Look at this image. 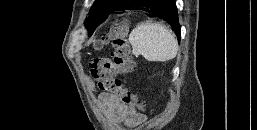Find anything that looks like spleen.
<instances>
[{
	"label": "spleen",
	"instance_id": "1",
	"mask_svg": "<svg viewBox=\"0 0 257 130\" xmlns=\"http://www.w3.org/2000/svg\"><path fill=\"white\" fill-rule=\"evenodd\" d=\"M132 54L142 55L150 62H166L177 55L178 44L174 34L156 22L138 24L129 35Z\"/></svg>",
	"mask_w": 257,
	"mask_h": 130
}]
</instances>
